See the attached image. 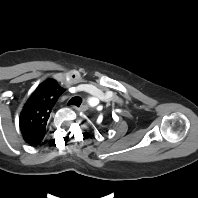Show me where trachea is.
<instances>
[{
	"label": "trachea",
	"mask_w": 198,
	"mask_h": 198,
	"mask_svg": "<svg viewBox=\"0 0 198 198\" xmlns=\"http://www.w3.org/2000/svg\"><path fill=\"white\" fill-rule=\"evenodd\" d=\"M81 103H82V99L78 96H75L70 99V101L68 102V105H75L79 107Z\"/></svg>",
	"instance_id": "1"
}]
</instances>
